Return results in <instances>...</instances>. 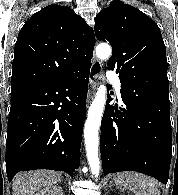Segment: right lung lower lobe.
Returning <instances> with one entry per match:
<instances>
[{
  "label": "right lung lower lobe",
  "instance_id": "98d812e1",
  "mask_svg": "<svg viewBox=\"0 0 178 195\" xmlns=\"http://www.w3.org/2000/svg\"><path fill=\"white\" fill-rule=\"evenodd\" d=\"M90 67L73 76L11 90L6 172L79 168Z\"/></svg>",
  "mask_w": 178,
  "mask_h": 195
}]
</instances>
